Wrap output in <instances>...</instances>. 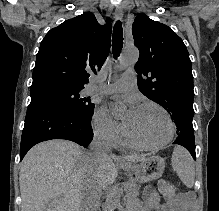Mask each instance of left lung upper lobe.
<instances>
[{"mask_svg":"<svg viewBox=\"0 0 219 211\" xmlns=\"http://www.w3.org/2000/svg\"><path fill=\"white\" fill-rule=\"evenodd\" d=\"M140 57L138 88L174 119L177 134H193V75L183 40L167 25L139 14L132 25Z\"/></svg>","mask_w":219,"mask_h":211,"instance_id":"5c2ea615","label":"left lung upper lobe"}]
</instances>
